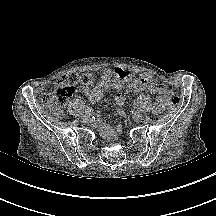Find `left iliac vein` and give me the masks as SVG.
<instances>
[{
  "instance_id": "1",
  "label": "left iliac vein",
  "mask_w": 216,
  "mask_h": 216,
  "mask_svg": "<svg viewBox=\"0 0 216 216\" xmlns=\"http://www.w3.org/2000/svg\"><path fill=\"white\" fill-rule=\"evenodd\" d=\"M132 118H133L134 120H136V121H139V120H141V119L143 118V115H142L139 111H137L136 114H133V113H132Z\"/></svg>"
}]
</instances>
